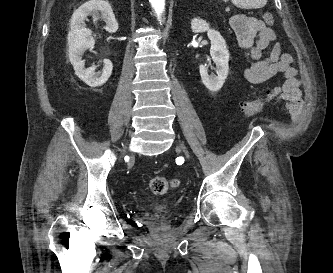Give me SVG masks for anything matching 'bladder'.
I'll list each match as a JSON object with an SVG mask.
<instances>
[{"mask_svg": "<svg viewBox=\"0 0 333 273\" xmlns=\"http://www.w3.org/2000/svg\"><path fill=\"white\" fill-rule=\"evenodd\" d=\"M169 210L164 208V209H161V212H164V213H167Z\"/></svg>", "mask_w": 333, "mask_h": 273, "instance_id": "1", "label": "bladder"}]
</instances>
